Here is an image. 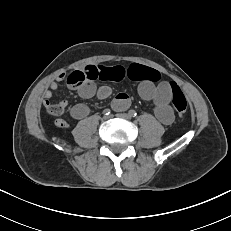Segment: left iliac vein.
I'll return each instance as SVG.
<instances>
[{"label":"left iliac vein","mask_w":231,"mask_h":231,"mask_svg":"<svg viewBox=\"0 0 231 231\" xmlns=\"http://www.w3.org/2000/svg\"><path fill=\"white\" fill-rule=\"evenodd\" d=\"M116 116L119 117V118L125 119V120H130L131 119V116L129 114H127V113H119Z\"/></svg>","instance_id":"4c4485c4"}]
</instances>
